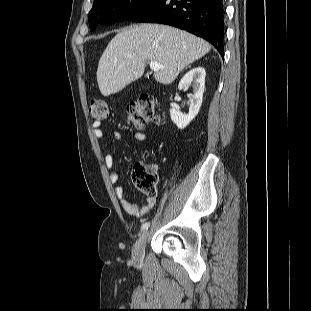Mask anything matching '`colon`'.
I'll return each instance as SVG.
<instances>
[{
  "mask_svg": "<svg viewBox=\"0 0 311 311\" xmlns=\"http://www.w3.org/2000/svg\"><path fill=\"white\" fill-rule=\"evenodd\" d=\"M129 120L136 127H143L148 122L159 121L155 112V102L152 96L143 95L137 101L130 102L126 107ZM90 118L102 122L108 119L109 110L105 100L94 98L89 106ZM132 179L136 188L149 197H154L158 189V176L154 169L145 164H136L132 170Z\"/></svg>",
  "mask_w": 311,
  "mask_h": 311,
  "instance_id": "obj_1",
  "label": "colon"
}]
</instances>
